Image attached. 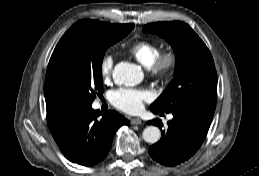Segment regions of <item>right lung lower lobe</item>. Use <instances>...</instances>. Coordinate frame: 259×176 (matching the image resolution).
Masks as SVG:
<instances>
[{
    "label": "right lung lower lobe",
    "instance_id": "obj_1",
    "mask_svg": "<svg viewBox=\"0 0 259 176\" xmlns=\"http://www.w3.org/2000/svg\"><path fill=\"white\" fill-rule=\"evenodd\" d=\"M49 130L65 157L92 166L108 154L114 134L130 122L115 111L99 112L91 106H68L47 118Z\"/></svg>",
    "mask_w": 259,
    "mask_h": 176
}]
</instances>
